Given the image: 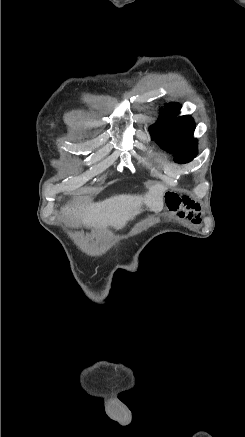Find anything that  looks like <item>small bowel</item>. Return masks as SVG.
Segmentation results:
<instances>
[{
  "label": "small bowel",
  "mask_w": 245,
  "mask_h": 437,
  "mask_svg": "<svg viewBox=\"0 0 245 437\" xmlns=\"http://www.w3.org/2000/svg\"><path fill=\"white\" fill-rule=\"evenodd\" d=\"M165 197V207L171 213L193 223L200 221V205L195 200L174 192L168 193Z\"/></svg>",
  "instance_id": "obj_1"
}]
</instances>
